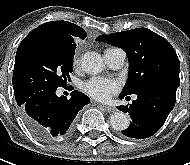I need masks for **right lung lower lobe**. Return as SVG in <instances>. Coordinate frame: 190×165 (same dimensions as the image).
Segmentation results:
<instances>
[{"instance_id": "right-lung-lower-lobe-1", "label": "right lung lower lobe", "mask_w": 190, "mask_h": 165, "mask_svg": "<svg viewBox=\"0 0 190 165\" xmlns=\"http://www.w3.org/2000/svg\"><path fill=\"white\" fill-rule=\"evenodd\" d=\"M56 90L36 92L18 104L26 126L44 142L69 136L79 110L89 103V98L81 92L73 91L67 99L56 96Z\"/></svg>"}]
</instances>
